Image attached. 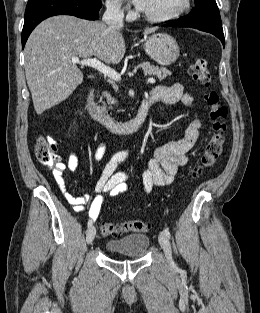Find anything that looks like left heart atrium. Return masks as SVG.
Listing matches in <instances>:
<instances>
[{"mask_svg": "<svg viewBox=\"0 0 260 313\" xmlns=\"http://www.w3.org/2000/svg\"><path fill=\"white\" fill-rule=\"evenodd\" d=\"M132 1H133V3H134L137 7L141 8V9H142V7H143V5H144V2H145V0H132Z\"/></svg>", "mask_w": 260, "mask_h": 313, "instance_id": "39dd6f15", "label": "left heart atrium"}]
</instances>
